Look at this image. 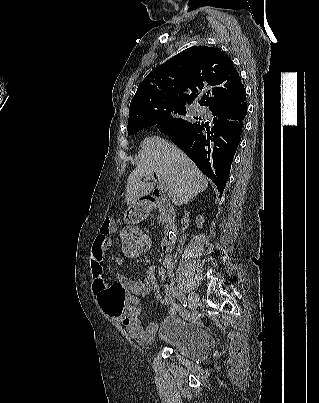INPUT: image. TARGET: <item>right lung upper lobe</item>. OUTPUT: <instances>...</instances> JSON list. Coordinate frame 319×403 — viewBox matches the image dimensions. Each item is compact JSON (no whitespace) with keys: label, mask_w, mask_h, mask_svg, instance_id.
<instances>
[{"label":"right lung upper lobe","mask_w":319,"mask_h":403,"mask_svg":"<svg viewBox=\"0 0 319 403\" xmlns=\"http://www.w3.org/2000/svg\"><path fill=\"white\" fill-rule=\"evenodd\" d=\"M209 106L244 98L245 89L232 60L219 48L190 47L154 69L138 86L130 103L129 120L167 104Z\"/></svg>","instance_id":"obj_1"}]
</instances>
